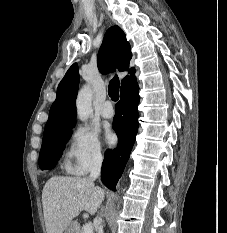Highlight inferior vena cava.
Segmentation results:
<instances>
[{
    "label": "inferior vena cava",
    "instance_id": "1",
    "mask_svg": "<svg viewBox=\"0 0 227 233\" xmlns=\"http://www.w3.org/2000/svg\"><path fill=\"white\" fill-rule=\"evenodd\" d=\"M102 155L101 154H97L92 161V165H91V172H90V178L91 179H96L100 176V171H101V165H102Z\"/></svg>",
    "mask_w": 227,
    "mask_h": 233
}]
</instances>
